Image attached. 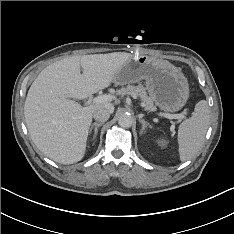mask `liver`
<instances>
[{
	"label": "liver",
	"instance_id": "obj_1",
	"mask_svg": "<svg viewBox=\"0 0 234 234\" xmlns=\"http://www.w3.org/2000/svg\"><path fill=\"white\" fill-rule=\"evenodd\" d=\"M131 57L126 52L72 56L39 73L29 88L24 116L32 141L46 157L61 164L82 160L94 110L104 107L112 113L114 105L82 107L70 98L85 99L110 86Z\"/></svg>",
	"mask_w": 234,
	"mask_h": 234
}]
</instances>
